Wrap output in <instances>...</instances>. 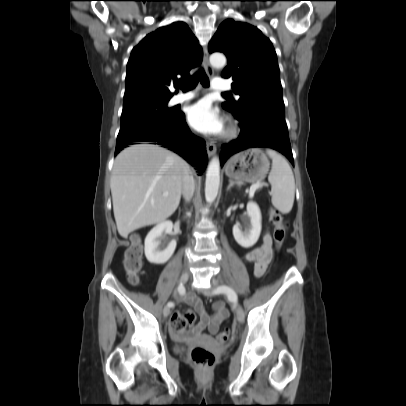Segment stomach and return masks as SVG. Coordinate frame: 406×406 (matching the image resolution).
I'll list each match as a JSON object with an SVG mask.
<instances>
[{"label":"stomach","mask_w":406,"mask_h":406,"mask_svg":"<svg viewBox=\"0 0 406 406\" xmlns=\"http://www.w3.org/2000/svg\"><path fill=\"white\" fill-rule=\"evenodd\" d=\"M270 167L265 153L258 148L242 151L227 162L225 173L231 179L255 183L263 180Z\"/></svg>","instance_id":"obj_1"}]
</instances>
